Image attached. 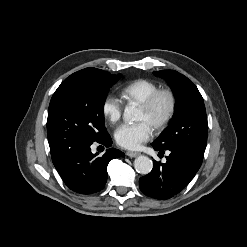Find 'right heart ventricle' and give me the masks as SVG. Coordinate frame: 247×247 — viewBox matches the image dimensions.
<instances>
[{
    "instance_id": "right-heart-ventricle-1",
    "label": "right heart ventricle",
    "mask_w": 247,
    "mask_h": 247,
    "mask_svg": "<svg viewBox=\"0 0 247 247\" xmlns=\"http://www.w3.org/2000/svg\"><path fill=\"white\" fill-rule=\"evenodd\" d=\"M159 89V85L148 79H136L128 83L121 90V96L128 103L141 104L152 93Z\"/></svg>"
}]
</instances>
